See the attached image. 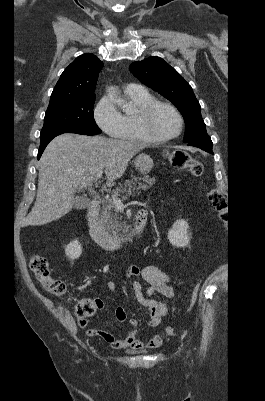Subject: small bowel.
Here are the masks:
<instances>
[{
    "instance_id": "1",
    "label": "small bowel",
    "mask_w": 265,
    "mask_h": 401,
    "mask_svg": "<svg viewBox=\"0 0 265 401\" xmlns=\"http://www.w3.org/2000/svg\"><path fill=\"white\" fill-rule=\"evenodd\" d=\"M126 275L128 278H138L144 284H146V289L143 291L142 283L139 280H136L132 283V290L135 299L149 311L150 319L148 325L150 327L158 326L162 319L168 315L169 308L165 302L154 298V295L159 293L168 298L175 297L176 290L172 285V277L156 266H146L144 268L132 266L128 268ZM106 286L111 293L115 294L117 292V287L113 281H106ZM114 314L119 323L125 321L126 311L123 307L118 306L115 309ZM86 323V320L81 321L82 326L86 325ZM138 331V322L135 319H131L129 321V330L126 337L123 339H117L111 333L100 329L88 330L87 334L89 336L101 338L114 349H130L141 351L145 349L157 348L163 342V334H157L147 341L138 340L136 338Z\"/></svg>"
}]
</instances>
